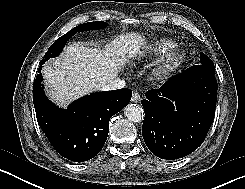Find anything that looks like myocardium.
<instances>
[{
    "mask_svg": "<svg viewBox=\"0 0 245 189\" xmlns=\"http://www.w3.org/2000/svg\"><path fill=\"white\" fill-rule=\"evenodd\" d=\"M186 58V54L182 50L172 49L168 51L155 70V78L161 80L175 73L185 64Z\"/></svg>",
    "mask_w": 245,
    "mask_h": 189,
    "instance_id": "f54148a6",
    "label": "myocardium"
}]
</instances>
